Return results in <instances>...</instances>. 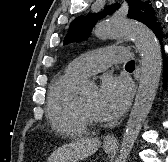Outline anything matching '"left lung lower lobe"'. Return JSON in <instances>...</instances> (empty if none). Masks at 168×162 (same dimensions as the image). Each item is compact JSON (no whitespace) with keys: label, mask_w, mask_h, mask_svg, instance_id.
Instances as JSON below:
<instances>
[{"label":"left lung lower lobe","mask_w":168,"mask_h":162,"mask_svg":"<svg viewBox=\"0 0 168 162\" xmlns=\"http://www.w3.org/2000/svg\"><path fill=\"white\" fill-rule=\"evenodd\" d=\"M148 27L155 33V35L159 39V41L161 43V46H162V49H163V45H162V29L160 27V23L155 21L154 23L150 24ZM163 57H164V53H163ZM164 66H165L164 71H166V68H168V64L165 61V59H164ZM166 74L167 73H164L165 78H166Z\"/></svg>","instance_id":"obj_1"}]
</instances>
